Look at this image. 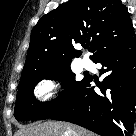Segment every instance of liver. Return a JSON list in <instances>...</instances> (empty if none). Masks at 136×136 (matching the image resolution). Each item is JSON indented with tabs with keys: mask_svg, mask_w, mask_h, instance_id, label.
Segmentation results:
<instances>
[{
	"mask_svg": "<svg viewBox=\"0 0 136 136\" xmlns=\"http://www.w3.org/2000/svg\"><path fill=\"white\" fill-rule=\"evenodd\" d=\"M15 136H94V134L69 123L48 121L23 128L17 131Z\"/></svg>",
	"mask_w": 136,
	"mask_h": 136,
	"instance_id": "liver-1",
	"label": "liver"
}]
</instances>
